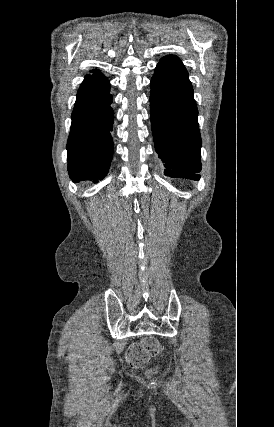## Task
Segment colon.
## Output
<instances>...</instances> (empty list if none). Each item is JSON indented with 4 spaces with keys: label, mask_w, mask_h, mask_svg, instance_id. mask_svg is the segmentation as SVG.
Returning <instances> with one entry per match:
<instances>
[{
    "label": "colon",
    "mask_w": 274,
    "mask_h": 427,
    "mask_svg": "<svg viewBox=\"0 0 274 427\" xmlns=\"http://www.w3.org/2000/svg\"><path fill=\"white\" fill-rule=\"evenodd\" d=\"M160 354V345L155 339H145L128 347L125 360L135 369L145 368L150 359Z\"/></svg>",
    "instance_id": "obj_1"
}]
</instances>
